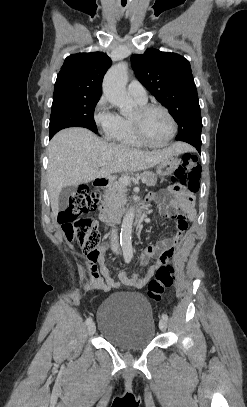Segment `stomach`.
Listing matches in <instances>:
<instances>
[{"mask_svg":"<svg viewBox=\"0 0 247 407\" xmlns=\"http://www.w3.org/2000/svg\"><path fill=\"white\" fill-rule=\"evenodd\" d=\"M181 160L177 155L168 157L160 162L157 166V174L161 176H168L174 173L179 167Z\"/></svg>","mask_w":247,"mask_h":407,"instance_id":"obj_1","label":"stomach"}]
</instances>
